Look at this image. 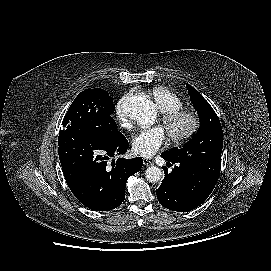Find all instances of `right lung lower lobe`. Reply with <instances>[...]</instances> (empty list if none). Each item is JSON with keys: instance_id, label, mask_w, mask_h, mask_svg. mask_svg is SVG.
<instances>
[{"instance_id": "right-lung-lower-lobe-1", "label": "right lung lower lobe", "mask_w": 271, "mask_h": 271, "mask_svg": "<svg viewBox=\"0 0 271 271\" xmlns=\"http://www.w3.org/2000/svg\"><path fill=\"white\" fill-rule=\"evenodd\" d=\"M58 153L66 183L74 196L94 211H108L125 199L127 179L143 164L140 157L120 158L111 166L109 158L127 151L129 143L118 132L103 139L78 130H61Z\"/></svg>"}]
</instances>
